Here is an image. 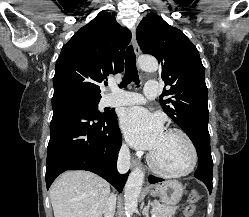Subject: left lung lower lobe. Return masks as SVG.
I'll return each instance as SVG.
<instances>
[{
    "label": "left lung lower lobe",
    "mask_w": 249,
    "mask_h": 217,
    "mask_svg": "<svg viewBox=\"0 0 249 217\" xmlns=\"http://www.w3.org/2000/svg\"><path fill=\"white\" fill-rule=\"evenodd\" d=\"M196 147L199 165L195 172V177L205 183L209 192L212 191V170H213V161L211 156L210 149V136L209 132L204 129H198L196 139L192 141ZM149 182L151 184L163 181V179L149 176Z\"/></svg>",
    "instance_id": "1"
}]
</instances>
